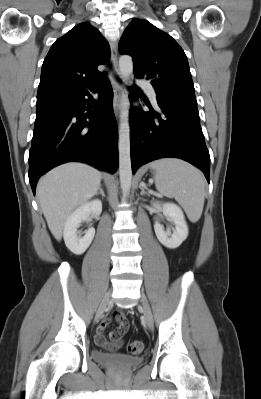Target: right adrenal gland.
<instances>
[{"label": "right adrenal gland", "instance_id": "2a0ac1e0", "mask_svg": "<svg viewBox=\"0 0 261 399\" xmlns=\"http://www.w3.org/2000/svg\"><path fill=\"white\" fill-rule=\"evenodd\" d=\"M99 191L98 192H96V194L95 195H99V194H101L102 195V197H105V193H104V191H103V188L101 187V185H100V187H99V189H98Z\"/></svg>", "mask_w": 261, "mask_h": 399}]
</instances>
